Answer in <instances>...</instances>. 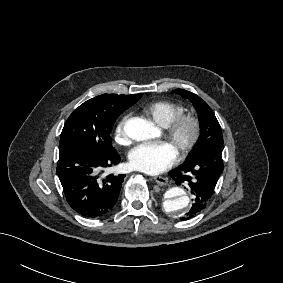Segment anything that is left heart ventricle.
<instances>
[{
  "label": "left heart ventricle",
  "mask_w": 283,
  "mask_h": 283,
  "mask_svg": "<svg viewBox=\"0 0 283 283\" xmlns=\"http://www.w3.org/2000/svg\"><path fill=\"white\" fill-rule=\"evenodd\" d=\"M189 135V129L188 128H185L179 138L178 141H172L174 147L179 151V146L180 144L188 137Z\"/></svg>",
  "instance_id": "1"
}]
</instances>
